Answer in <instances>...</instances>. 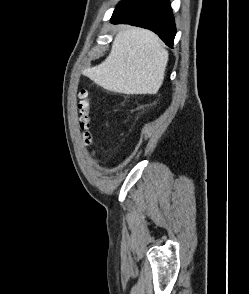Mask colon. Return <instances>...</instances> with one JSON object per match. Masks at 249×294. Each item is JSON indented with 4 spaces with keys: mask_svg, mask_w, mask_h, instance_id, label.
Returning <instances> with one entry per match:
<instances>
[{
    "mask_svg": "<svg viewBox=\"0 0 249 294\" xmlns=\"http://www.w3.org/2000/svg\"><path fill=\"white\" fill-rule=\"evenodd\" d=\"M79 115L82 128L85 132V141L86 143L91 142V136L87 132L91 119V100L89 98L88 92L82 90L79 94Z\"/></svg>",
    "mask_w": 249,
    "mask_h": 294,
    "instance_id": "colon-1",
    "label": "colon"
}]
</instances>
